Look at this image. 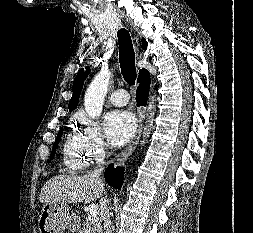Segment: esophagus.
<instances>
[{"label":"esophagus","mask_w":253,"mask_h":233,"mask_svg":"<svg viewBox=\"0 0 253 233\" xmlns=\"http://www.w3.org/2000/svg\"><path fill=\"white\" fill-rule=\"evenodd\" d=\"M137 119H138V127L134 135V138L130 142V144L118 155L116 159L117 165L124 164L128 160V158L130 157V155L132 154V152L134 151V149L136 148L139 142V139L141 137V133L143 130L144 119H145V110L142 107L138 109Z\"/></svg>","instance_id":"esophagus-1"}]
</instances>
